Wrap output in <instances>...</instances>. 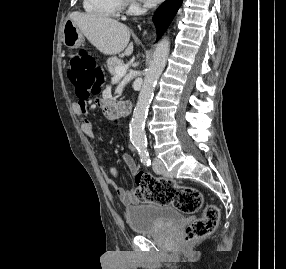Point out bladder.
<instances>
[{
	"instance_id": "obj_1",
	"label": "bladder",
	"mask_w": 286,
	"mask_h": 269,
	"mask_svg": "<svg viewBox=\"0 0 286 269\" xmlns=\"http://www.w3.org/2000/svg\"><path fill=\"white\" fill-rule=\"evenodd\" d=\"M126 220L136 234L155 233L180 222L182 213L167 204L144 203L128 207Z\"/></svg>"
}]
</instances>
